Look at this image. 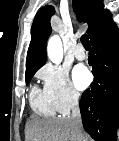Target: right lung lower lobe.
Instances as JSON below:
<instances>
[{
	"label": "right lung lower lobe",
	"mask_w": 119,
	"mask_h": 141,
	"mask_svg": "<svg viewBox=\"0 0 119 141\" xmlns=\"http://www.w3.org/2000/svg\"><path fill=\"white\" fill-rule=\"evenodd\" d=\"M89 65L94 81L82 94L80 110L87 133L95 141H116L119 123V32L112 16L90 38Z\"/></svg>",
	"instance_id": "right-lung-lower-lobe-1"
}]
</instances>
